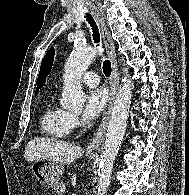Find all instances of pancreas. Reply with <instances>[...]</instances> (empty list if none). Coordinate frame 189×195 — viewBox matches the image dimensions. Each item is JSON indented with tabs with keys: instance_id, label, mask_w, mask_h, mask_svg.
I'll use <instances>...</instances> for the list:
<instances>
[{
	"instance_id": "pancreas-1",
	"label": "pancreas",
	"mask_w": 189,
	"mask_h": 195,
	"mask_svg": "<svg viewBox=\"0 0 189 195\" xmlns=\"http://www.w3.org/2000/svg\"><path fill=\"white\" fill-rule=\"evenodd\" d=\"M65 187V183L63 182H57L54 184V191L57 193V195H62V188Z\"/></svg>"
}]
</instances>
